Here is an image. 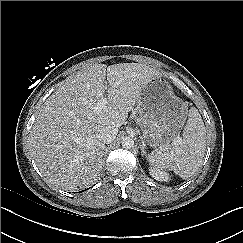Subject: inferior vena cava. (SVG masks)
<instances>
[{
    "label": "inferior vena cava",
    "instance_id": "602c4592",
    "mask_svg": "<svg viewBox=\"0 0 243 243\" xmlns=\"http://www.w3.org/2000/svg\"><path fill=\"white\" fill-rule=\"evenodd\" d=\"M118 134V128L115 126H107L102 134H101V139L104 142V144H109L114 141Z\"/></svg>",
    "mask_w": 243,
    "mask_h": 243
}]
</instances>
